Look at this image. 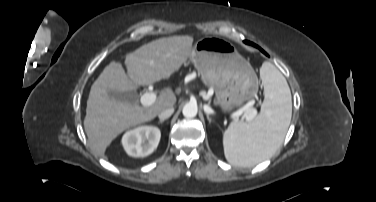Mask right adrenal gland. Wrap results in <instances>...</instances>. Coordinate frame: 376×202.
Instances as JSON below:
<instances>
[{"instance_id": "right-adrenal-gland-1", "label": "right adrenal gland", "mask_w": 376, "mask_h": 202, "mask_svg": "<svg viewBox=\"0 0 376 202\" xmlns=\"http://www.w3.org/2000/svg\"><path fill=\"white\" fill-rule=\"evenodd\" d=\"M164 122V120H160L159 123L162 124Z\"/></svg>"}]
</instances>
